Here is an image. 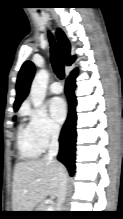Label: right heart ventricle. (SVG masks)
<instances>
[{
	"instance_id": "1",
	"label": "right heart ventricle",
	"mask_w": 123,
	"mask_h": 219,
	"mask_svg": "<svg viewBox=\"0 0 123 219\" xmlns=\"http://www.w3.org/2000/svg\"><path fill=\"white\" fill-rule=\"evenodd\" d=\"M18 149L22 158L35 159L43 152L30 125L21 124L18 129Z\"/></svg>"
}]
</instances>
